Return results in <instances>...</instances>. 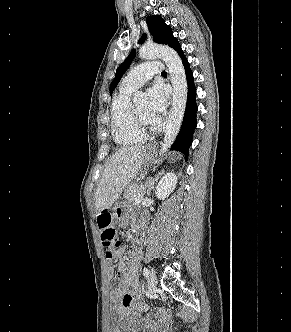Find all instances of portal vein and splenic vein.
Returning <instances> with one entry per match:
<instances>
[{"mask_svg":"<svg viewBox=\"0 0 291 332\" xmlns=\"http://www.w3.org/2000/svg\"><path fill=\"white\" fill-rule=\"evenodd\" d=\"M141 202V199H136L135 204H139Z\"/></svg>","mask_w":291,"mask_h":332,"instance_id":"18ae733b","label":"portal vein and splenic vein"}]
</instances>
